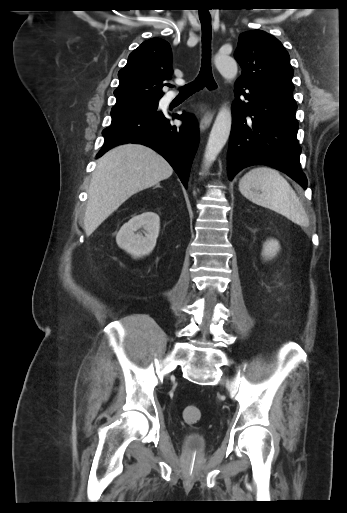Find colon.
Here are the masks:
<instances>
[{
    "instance_id": "obj_1",
    "label": "colon",
    "mask_w": 347,
    "mask_h": 513,
    "mask_svg": "<svg viewBox=\"0 0 347 513\" xmlns=\"http://www.w3.org/2000/svg\"><path fill=\"white\" fill-rule=\"evenodd\" d=\"M183 418L188 424H196L201 419V411L196 406L188 405L183 410Z\"/></svg>"
}]
</instances>
